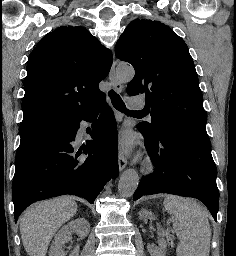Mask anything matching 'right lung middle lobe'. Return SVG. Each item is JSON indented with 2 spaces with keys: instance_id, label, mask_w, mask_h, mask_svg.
Masks as SVG:
<instances>
[{
  "instance_id": "obj_1",
  "label": "right lung middle lobe",
  "mask_w": 236,
  "mask_h": 256,
  "mask_svg": "<svg viewBox=\"0 0 236 256\" xmlns=\"http://www.w3.org/2000/svg\"><path fill=\"white\" fill-rule=\"evenodd\" d=\"M69 122H71V119H64L54 115H44L23 120L20 126V144L26 143Z\"/></svg>"
}]
</instances>
